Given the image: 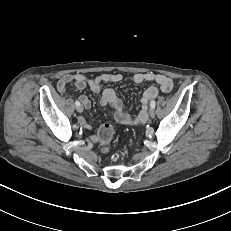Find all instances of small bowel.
Returning a JSON list of instances; mask_svg holds the SVG:
<instances>
[{
	"label": "small bowel",
	"mask_w": 231,
	"mask_h": 231,
	"mask_svg": "<svg viewBox=\"0 0 231 231\" xmlns=\"http://www.w3.org/2000/svg\"><path fill=\"white\" fill-rule=\"evenodd\" d=\"M123 76L120 73H102L93 78L87 77L83 74H66L57 82V88L61 93H67L66 85L73 83L78 90H83L89 87L94 93L101 95V104L109 106L113 110V116L116 122L122 125L140 124L146 120V106L147 103L158 96L159 90L156 86L148 87L142 96V108L139 114L135 118H131L123 110L122 101L118 98L115 91L110 88H104L105 83L120 82ZM135 84H141L144 82H154L159 85L160 90L164 93H168L172 90V80L162 74H155L153 72L136 73L131 78ZM80 100L85 108H90L91 102L86 96H80ZM81 125L86 129H91L92 126L86 123L85 120L80 121ZM93 142H98L99 137L96 135L91 136Z\"/></svg>",
	"instance_id": "c3829d8e"
}]
</instances>
